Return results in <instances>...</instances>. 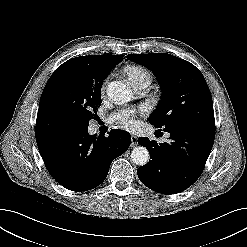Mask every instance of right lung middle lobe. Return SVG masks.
Returning a JSON list of instances; mask_svg holds the SVG:
<instances>
[{
	"instance_id": "dd1d6c3e",
	"label": "right lung middle lobe",
	"mask_w": 247,
	"mask_h": 247,
	"mask_svg": "<svg viewBox=\"0 0 247 247\" xmlns=\"http://www.w3.org/2000/svg\"><path fill=\"white\" fill-rule=\"evenodd\" d=\"M105 77L79 57L66 61L46 83L38 113L88 127L89 120L95 117L101 105V86Z\"/></svg>"
}]
</instances>
